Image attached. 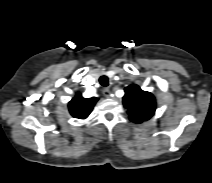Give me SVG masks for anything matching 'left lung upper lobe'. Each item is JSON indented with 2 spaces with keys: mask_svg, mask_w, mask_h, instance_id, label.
Returning <instances> with one entry per match:
<instances>
[{
  "mask_svg": "<svg viewBox=\"0 0 212 183\" xmlns=\"http://www.w3.org/2000/svg\"><path fill=\"white\" fill-rule=\"evenodd\" d=\"M123 104L127 109L130 120L134 123L149 120L155 113L156 102L154 96L150 92L143 91L135 84L125 88Z\"/></svg>",
  "mask_w": 212,
  "mask_h": 183,
  "instance_id": "left-lung-upper-lobe-1",
  "label": "left lung upper lobe"
}]
</instances>
